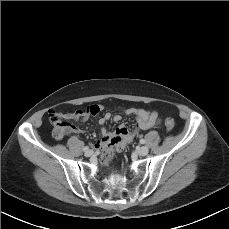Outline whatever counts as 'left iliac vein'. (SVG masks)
I'll return each instance as SVG.
<instances>
[{"label": "left iliac vein", "instance_id": "1", "mask_svg": "<svg viewBox=\"0 0 229 229\" xmlns=\"http://www.w3.org/2000/svg\"><path fill=\"white\" fill-rule=\"evenodd\" d=\"M148 152H149V149H148V147H146V146H142V147L138 148V150H137V153H138L139 155H141V156L147 155Z\"/></svg>", "mask_w": 229, "mask_h": 229}]
</instances>
